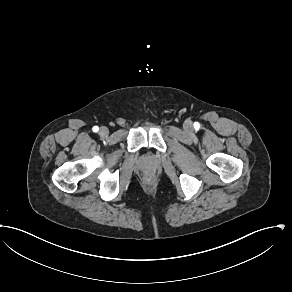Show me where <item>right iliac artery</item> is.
Here are the masks:
<instances>
[{
	"mask_svg": "<svg viewBox=\"0 0 292 292\" xmlns=\"http://www.w3.org/2000/svg\"><path fill=\"white\" fill-rule=\"evenodd\" d=\"M92 130H93V132H98L99 127L98 126H94Z\"/></svg>",
	"mask_w": 292,
	"mask_h": 292,
	"instance_id": "1",
	"label": "right iliac artery"
}]
</instances>
